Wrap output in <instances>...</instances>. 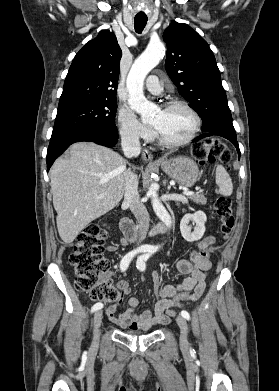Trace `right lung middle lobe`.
<instances>
[{"mask_svg": "<svg viewBox=\"0 0 279 391\" xmlns=\"http://www.w3.org/2000/svg\"><path fill=\"white\" fill-rule=\"evenodd\" d=\"M116 100H95L58 109L52 136L79 129L114 124Z\"/></svg>", "mask_w": 279, "mask_h": 391, "instance_id": "right-lung-middle-lobe-1", "label": "right lung middle lobe"}]
</instances>
